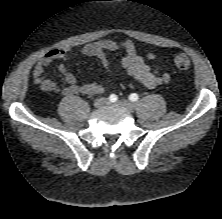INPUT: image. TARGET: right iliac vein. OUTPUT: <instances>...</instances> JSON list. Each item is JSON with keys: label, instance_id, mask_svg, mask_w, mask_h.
I'll list each match as a JSON object with an SVG mask.
<instances>
[{"label": "right iliac vein", "instance_id": "obj_1", "mask_svg": "<svg viewBox=\"0 0 222 219\" xmlns=\"http://www.w3.org/2000/svg\"><path fill=\"white\" fill-rule=\"evenodd\" d=\"M106 103H107V99H105V98H99V99L95 100L94 106L97 107V108H99V107L104 106Z\"/></svg>", "mask_w": 222, "mask_h": 219}]
</instances>
